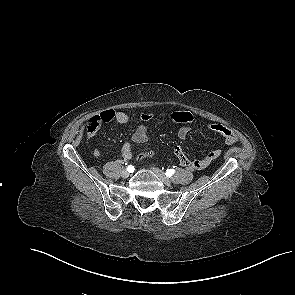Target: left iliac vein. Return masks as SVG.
I'll list each match as a JSON object with an SVG mask.
<instances>
[{
	"label": "left iliac vein",
	"instance_id": "obj_1",
	"mask_svg": "<svg viewBox=\"0 0 295 295\" xmlns=\"http://www.w3.org/2000/svg\"><path fill=\"white\" fill-rule=\"evenodd\" d=\"M153 171L156 173V175L158 176V178L160 179V181L162 183H164L165 185H171V180L163 173V171H161L158 168H152Z\"/></svg>",
	"mask_w": 295,
	"mask_h": 295
}]
</instances>
